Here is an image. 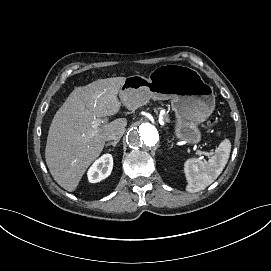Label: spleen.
<instances>
[{
  "instance_id": "obj_1",
  "label": "spleen",
  "mask_w": 271,
  "mask_h": 271,
  "mask_svg": "<svg viewBox=\"0 0 271 271\" xmlns=\"http://www.w3.org/2000/svg\"><path fill=\"white\" fill-rule=\"evenodd\" d=\"M230 151L231 142L224 139L208 162H203L197 158L188 159L184 164L188 181L186 190L191 193L197 192L198 189L202 190L213 183L227 164Z\"/></svg>"
}]
</instances>
